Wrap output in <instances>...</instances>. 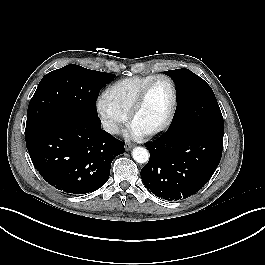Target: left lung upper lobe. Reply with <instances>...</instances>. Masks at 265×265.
<instances>
[{
  "label": "left lung upper lobe",
  "instance_id": "obj_1",
  "mask_svg": "<svg viewBox=\"0 0 265 265\" xmlns=\"http://www.w3.org/2000/svg\"><path fill=\"white\" fill-rule=\"evenodd\" d=\"M177 88L178 104L171 129L185 125H202L224 132L223 117L211 87L188 69L164 72Z\"/></svg>",
  "mask_w": 265,
  "mask_h": 265
}]
</instances>
